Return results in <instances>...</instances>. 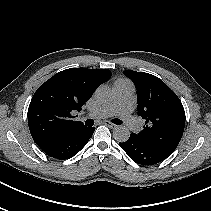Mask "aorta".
Here are the masks:
<instances>
[{"label": "aorta", "mask_w": 211, "mask_h": 211, "mask_svg": "<svg viewBox=\"0 0 211 211\" xmlns=\"http://www.w3.org/2000/svg\"><path fill=\"white\" fill-rule=\"evenodd\" d=\"M95 99L100 103H106L113 99V93L107 88H99L95 92ZM130 137V131L126 126H117L113 130V138L117 142H125Z\"/></svg>", "instance_id": "1"}]
</instances>
